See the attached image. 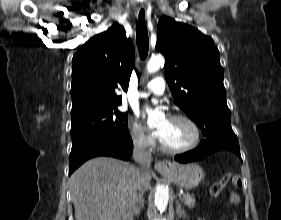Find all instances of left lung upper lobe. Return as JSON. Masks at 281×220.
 <instances>
[{
    "label": "left lung upper lobe",
    "instance_id": "left-lung-upper-lobe-1",
    "mask_svg": "<svg viewBox=\"0 0 281 220\" xmlns=\"http://www.w3.org/2000/svg\"><path fill=\"white\" fill-rule=\"evenodd\" d=\"M156 50L165 56V77L176 104L201 128L206 140H237L231 128L219 51L212 38L163 16Z\"/></svg>",
    "mask_w": 281,
    "mask_h": 220
}]
</instances>
